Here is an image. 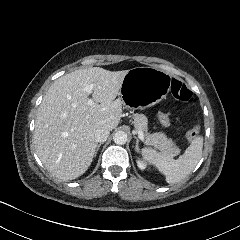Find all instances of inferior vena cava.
<instances>
[{"label":"inferior vena cava","mask_w":240,"mask_h":240,"mask_svg":"<svg viewBox=\"0 0 240 240\" xmlns=\"http://www.w3.org/2000/svg\"><path fill=\"white\" fill-rule=\"evenodd\" d=\"M110 134L108 129H98L95 133V140L96 142H105Z\"/></svg>","instance_id":"602c4592"}]
</instances>
